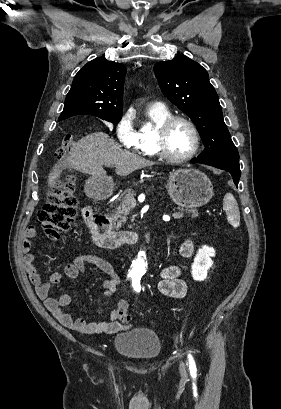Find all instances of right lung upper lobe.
Returning <instances> with one entry per match:
<instances>
[{
  "label": "right lung upper lobe",
  "mask_w": 281,
  "mask_h": 409,
  "mask_svg": "<svg viewBox=\"0 0 281 409\" xmlns=\"http://www.w3.org/2000/svg\"><path fill=\"white\" fill-rule=\"evenodd\" d=\"M126 68L98 57L75 76L59 121L74 115L122 116Z\"/></svg>",
  "instance_id": "right-lung-upper-lobe-1"
}]
</instances>
